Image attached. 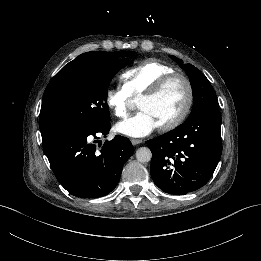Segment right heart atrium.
Wrapping results in <instances>:
<instances>
[{
    "label": "right heart atrium",
    "mask_w": 261,
    "mask_h": 261,
    "mask_svg": "<svg viewBox=\"0 0 261 261\" xmlns=\"http://www.w3.org/2000/svg\"><path fill=\"white\" fill-rule=\"evenodd\" d=\"M105 102L108 108L119 119H127L134 107V101L123 89H110L106 93Z\"/></svg>",
    "instance_id": "1"
}]
</instances>
